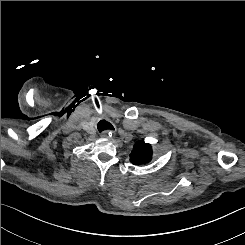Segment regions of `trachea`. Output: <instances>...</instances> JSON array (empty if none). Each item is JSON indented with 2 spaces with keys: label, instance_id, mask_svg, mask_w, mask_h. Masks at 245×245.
<instances>
[{
  "label": "trachea",
  "instance_id": "1",
  "mask_svg": "<svg viewBox=\"0 0 245 245\" xmlns=\"http://www.w3.org/2000/svg\"><path fill=\"white\" fill-rule=\"evenodd\" d=\"M97 128L99 132H102L105 130H114L113 125L106 120H100L97 124Z\"/></svg>",
  "mask_w": 245,
  "mask_h": 245
}]
</instances>
